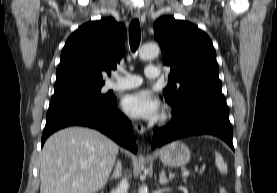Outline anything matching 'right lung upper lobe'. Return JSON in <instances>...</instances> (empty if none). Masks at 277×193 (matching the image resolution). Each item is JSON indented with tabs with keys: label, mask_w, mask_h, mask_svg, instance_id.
I'll list each match as a JSON object with an SVG mask.
<instances>
[{
	"label": "right lung upper lobe",
	"mask_w": 277,
	"mask_h": 193,
	"mask_svg": "<svg viewBox=\"0 0 277 193\" xmlns=\"http://www.w3.org/2000/svg\"><path fill=\"white\" fill-rule=\"evenodd\" d=\"M126 28L114 18L79 27L67 39L56 71L54 93L102 86V73H110L124 53Z\"/></svg>",
	"instance_id": "cb5924a9"
}]
</instances>
